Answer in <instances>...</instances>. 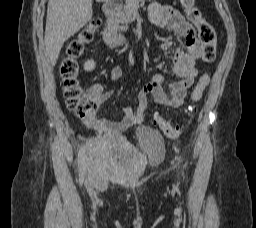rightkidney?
Instances as JSON below:
<instances>
[{
  "label": "right kidney",
  "instance_id": "obj_1",
  "mask_svg": "<svg viewBox=\"0 0 256 228\" xmlns=\"http://www.w3.org/2000/svg\"><path fill=\"white\" fill-rule=\"evenodd\" d=\"M85 71H92L95 69V62L93 60H88L84 64Z\"/></svg>",
  "mask_w": 256,
  "mask_h": 228
}]
</instances>
